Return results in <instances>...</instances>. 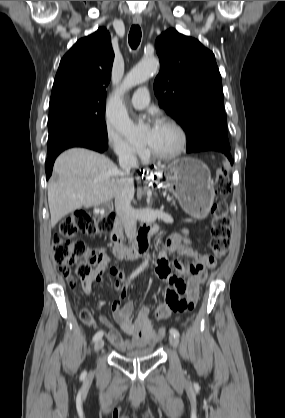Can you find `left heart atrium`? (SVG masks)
<instances>
[{"mask_svg": "<svg viewBox=\"0 0 285 418\" xmlns=\"http://www.w3.org/2000/svg\"><path fill=\"white\" fill-rule=\"evenodd\" d=\"M149 121H150V124H151V129H150V131H151V133H156V132H158L159 131V129L162 127V123H161V121L158 119V118H156V117H151L150 119H149Z\"/></svg>", "mask_w": 285, "mask_h": 418, "instance_id": "1", "label": "left heart atrium"}]
</instances>
